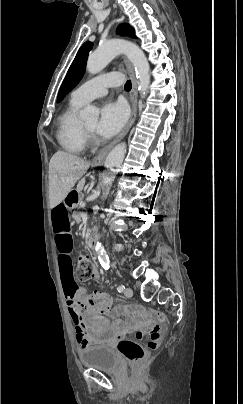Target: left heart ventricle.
Returning <instances> with one entry per match:
<instances>
[{
  "instance_id": "1",
  "label": "left heart ventricle",
  "mask_w": 243,
  "mask_h": 404,
  "mask_svg": "<svg viewBox=\"0 0 243 404\" xmlns=\"http://www.w3.org/2000/svg\"><path fill=\"white\" fill-rule=\"evenodd\" d=\"M83 124L88 130L93 131L96 127V120L87 121V122H84Z\"/></svg>"
}]
</instances>
